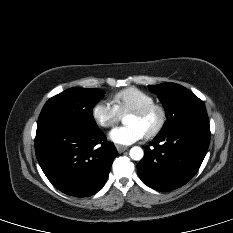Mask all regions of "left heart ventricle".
<instances>
[{
	"label": "left heart ventricle",
	"mask_w": 233,
	"mask_h": 233,
	"mask_svg": "<svg viewBox=\"0 0 233 233\" xmlns=\"http://www.w3.org/2000/svg\"><path fill=\"white\" fill-rule=\"evenodd\" d=\"M159 119V115L157 111H152L145 116H136L133 114H129L125 118V123L138 125L145 134L151 131L157 124Z\"/></svg>",
	"instance_id": "1"
}]
</instances>
